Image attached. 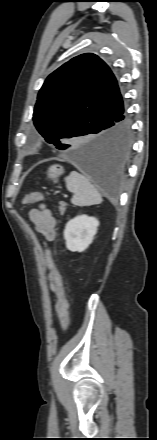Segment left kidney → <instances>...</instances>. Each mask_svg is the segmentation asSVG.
<instances>
[{
	"instance_id": "left-kidney-1",
	"label": "left kidney",
	"mask_w": 157,
	"mask_h": 440,
	"mask_svg": "<svg viewBox=\"0 0 157 440\" xmlns=\"http://www.w3.org/2000/svg\"><path fill=\"white\" fill-rule=\"evenodd\" d=\"M99 221L94 217L80 215L71 219L65 227L66 247L72 252H82L92 243Z\"/></svg>"
}]
</instances>
